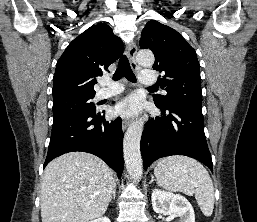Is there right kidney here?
Wrapping results in <instances>:
<instances>
[{
  "instance_id": "obj_1",
  "label": "right kidney",
  "mask_w": 257,
  "mask_h": 222,
  "mask_svg": "<svg viewBox=\"0 0 257 222\" xmlns=\"http://www.w3.org/2000/svg\"><path fill=\"white\" fill-rule=\"evenodd\" d=\"M90 222H110V219L107 217H100V218L92 220Z\"/></svg>"
}]
</instances>
